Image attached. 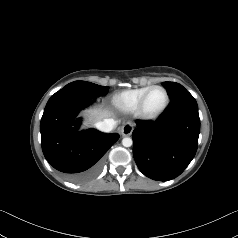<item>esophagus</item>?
<instances>
[{"mask_svg":"<svg viewBox=\"0 0 238 238\" xmlns=\"http://www.w3.org/2000/svg\"><path fill=\"white\" fill-rule=\"evenodd\" d=\"M133 132V126L128 123V124H125L122 128H121V134L123 136H129L131 135Z\"/></svg>","mask_w":238,"mask_h":238,"instance_id":"obj_1","label":"esophagus"}]
</instances>
